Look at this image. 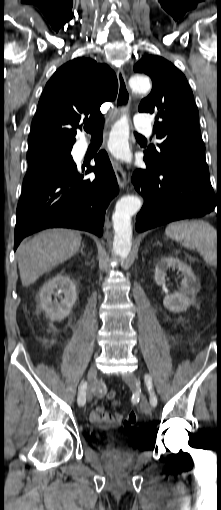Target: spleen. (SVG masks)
Masks as SVG:
<instances>
[{
    "instance_id": "obj_1",
    "label": "spleen",
    "mask_w": 221,
    "mask_h": 510,
    "mask_svg": "<svg viewBox=\"0 0 221 510\" xmlns=\"http://www.w3.org/2000/svg\"><path fill=\"white\" fill-rule=\"evenodd\" d=\"M168 237L182 241L189 249H196L209 264H215L217 232L203 220H182L170 223L165 230Z\"/></svg>"
}]
</instances>
